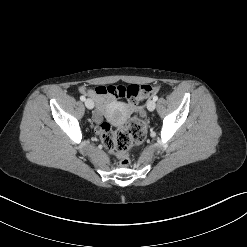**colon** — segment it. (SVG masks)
Masks as SVG:
<instances>
[{"mask_svg":"<svg viewBox=\"0 0 247 247\" xmlns=\"http://www.w3.org/2000/svg\"><path fill=\"white\" fill-rule=\"evenodd\" d=\"M107 92L115 97H126L129 106L135 107L136 103L160 91L159 85L107 86ZM100 92V89H97ZM98 132L103 146L117 155L118 165L126 167L130 164V149L134 143L142 142L147 134V128L143 121L132 118L125 127L113 129L108 123H102Z\"/></svg>","mask_w":247,"mask_h":247,"instance_id":"obj_1","label":"colon"}]
</instances>
